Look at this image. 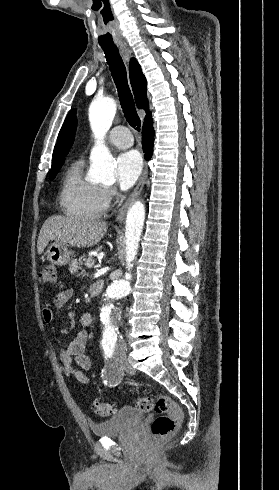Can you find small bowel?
Here are the masks:
<instances>
[{
  "label": "small bowel",
  "instance_id": "c3829d8e",
  "mask_svg": "<svg viewBox=\"0 0 279 490\" xmlns=\"http://www.w3.org/2000/svg\"><path fill=\"white\" fill-rule=\"evenodd\" d=\"M72 296L73 292L71 290H64L47 302L42 312L43 320L45 322L52 321L57 311L64 307L71 300ZM80 323L85 328L92 326V316L88 313H83L80 316ZM86 339V332L81 331L60 352V361L64 374L68 377H75L82 383H89L90 380L83 375L82 371L75 368V364L83 370L88 369L90 366L88 357L83 353Z\"/></svg>",
  "mask_w": 279,
  "mask_h": 490
}]
</instances>
